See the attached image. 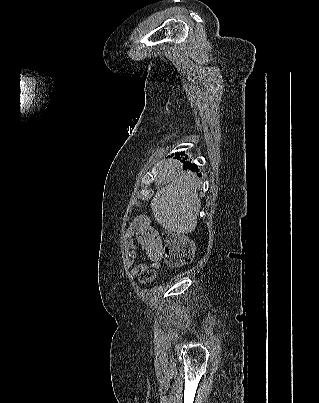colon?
<instances>
[{
    "mask_svg": "<svg viewBox=\"0 0 319 403\" xmlns=\"http://www.w3.org/2000/svg\"><path fill=\"white\" fill-rule=\"evenodd\" d=\"M135 236L138 238L137 247L144 248L152 262H158L164 256L169 267L177 268L190 264L194 258L195 246L191 239L183 234L165 232L161 236L150 225L145 216H138L133 223ZM154 278V273L145 271L141 275L143 282Z\"/></svg>",
    "mask_w": 319,
    "mask_h": 403,
    "instance_id": "5ec220e1",
    "label": "colon"
}]
</instances>
